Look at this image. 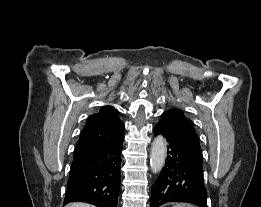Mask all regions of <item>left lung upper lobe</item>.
I'll return each instance as SVG.
<instances>
[{
    "label": "left lung upper lobe",
    "instance_id": "obj_1",
    "mask_svg": "<svg viewBox=\"0 0 261 207\" xmlns=\"http://www.w3.org/2000/svg\"><path fill=\"white\" fill-rule=\"evenodd\" d=\"M159 122L169 126L190 151H192L197 157L203 159L194 124L184 115L183 111L175 108L167 110L162 114Z\"/></svg>",
    "mask_w": 261,
    "mask_h": 207
}]
</instances>
